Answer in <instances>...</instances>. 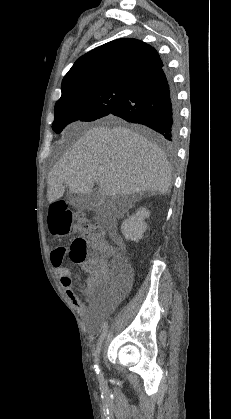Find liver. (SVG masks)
<instances>
[{"label": "liver", "mask_w": 231, "mask_h": 419, "mask_svg": "<svg viewBox=\"0 0 231 419\" xmlns=\"http://www.w3.org/2000/svg\"><path fill=\"white\" fill-rule=\"evenodd\" d=\"M116 123L113 128L102 125L87 130L55 164L48 175L49 203L60 199L65 187L71 193L88 195L95 182L105 196L169 190L171 169L164 152L143 135Z\"/></svg>", "instance_id": "1"}]
</instances>
